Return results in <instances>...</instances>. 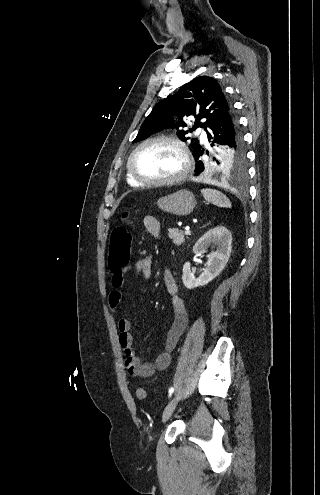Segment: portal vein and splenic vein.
Instances as JSON below:
<instances>
[{
	"label": "portal vein and splenic vein",
	"instance_id": "obj_1",
	"mask_svg": "<svg viewBox=\"0 0 320 495\" xmlns=\"http://www.w3.org/2000/svg\"><path fill=\"white\" fill-rule=\"evenodd\" d=\"M185 235H190L191 234V231L188 229L184 232Z\"/></svg>",
	"mask_w": 320,
	"mask_h": 495
}]
</instances>
